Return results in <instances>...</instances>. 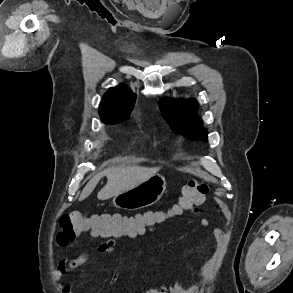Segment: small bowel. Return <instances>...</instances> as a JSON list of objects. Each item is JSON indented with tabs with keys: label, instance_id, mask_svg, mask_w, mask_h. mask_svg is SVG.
Instances as JSON below:
<instances>
[{
	"label": "small bowel",
	"instance_id": "c3829d8e",
	"mask_svg": "<svg viewBox=\"0 0 293 293\" xmlns=\"http://www.w3.org/2000/svg\"><path fill=\"white\" fill-rule=\"evenodd\" d=\"M153 216H154V212H146L142 215H137L136 217H138L140 219L147 220L148 218L153 217ZM164 220H165V218L161 222H163ZM161 222H159V223H161ZM159 223L151 224L148 227L142 228L137 231L104 237V240L97 245L96 251L99 253H103V254H112L116 250V239L121 238V237L136 238V237L143 236V235L151 232L153 230V228ZM201 224L205 227H208L211 225V222L208 218H202ZM211 236L214 240V245L219 246L220 243L222 242V239H223L222 230L219 228H216V227L212 228L211 229ZM88 260H89L88 254L82 253L75 258H72L69 260H63L58 263V266L54 272V280L57 282L63 281V283L60 285L61 293H72V286L68 280L67 274L70 271L85 265L88 262ZM203 272H204V270L202 271V273ZM117 278H118V275L115 274L112 277L111 282L112 283L116 282ZM198 288H199L198 284H193V285L186 287L180 283H175V284L170 285L168 287H166V286L162 287L159 290H156V289L148 290L146 293H193Z\"/></svg>",
	"mask_w": 293,
	"mask_h": 293
}]
</instances>
